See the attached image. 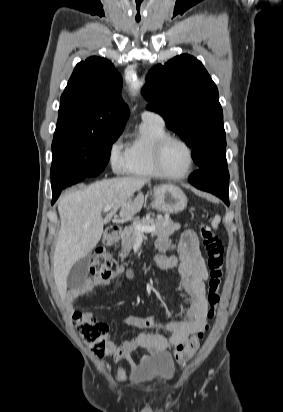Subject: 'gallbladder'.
<instances>
[{
	"instance_id": "gallbladder-1",
	"label": "gallbladder",
	"mask_w": 283,
	"mask_h": 412,
	"mask_svg": "<svg viewBox=\"0 0 283 412\" xmlns=\"http://www.w3.org/2000/svg\"><path fill=\"white\" fill-rule=\"evenodd\" d=\"M91 254L78 260L70 269L67 277V286L71 289L80 287L88 276V270L91 262Z\"/></svg>"
}]
</instances>
